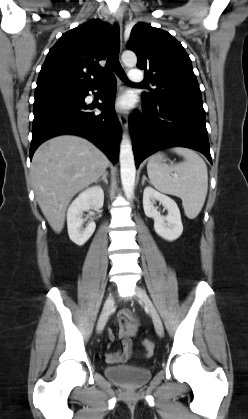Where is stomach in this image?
<instances>
[{
  "mask_svg": "<svg viewBox=\"0 0 248 419\" xmlns=\"http://www.w3.org/2000/svg\"><path fill=\"white\" fill-rule=\"evenodd\" d=\"M154 158L156 159V161L158 162V163H160V164H162V165H164V162H165V157H164V155L162 154V153H157L155 156H154Z\"/></svg>",
  "mask_w": 248,
  "mask_h": 419,
  "instance_id": "stomach-1",
  "label": "stomach"
}]
</instances>
